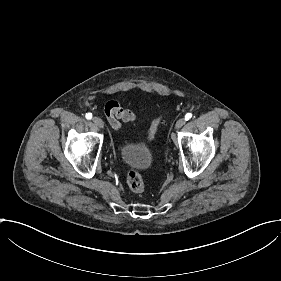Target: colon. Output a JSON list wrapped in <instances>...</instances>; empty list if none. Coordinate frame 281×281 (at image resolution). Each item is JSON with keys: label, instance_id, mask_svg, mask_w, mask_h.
Instances as JSON below:
<instances>
[{"label": "colon", "instance_id": "obj_1", "mask_svg": "<svg viewBox=\"0 0 281 281\" xmlns=\"http://www.w3.org/2000/svg\"><path fill=\"white\" fill-rule=\"evenodd\" d=\"M163 113L164 110L162 109L160 111V116ZM159 123L160 121L157 122V125H159ZM149 139L150 138H148V140ZM125 183L128 188L136 194H142L146 188V179L139 169L128 171L125 177Z\"/></svg>", "mask_w": 281, "mask_h": 281}]
</instances>
